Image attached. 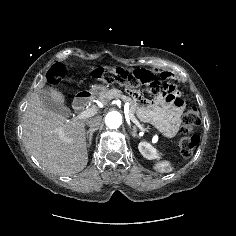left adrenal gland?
Returning a JSON list of instances; mask_svg holds the SVG:
<instances>
[{
    "label": "left adrenal gland",
    "mask_w": 236,
    "mask_h": 236,
    "mask_svg": "<svg viewBox=\"0 0 236 236\" xmlns=\"http://www.w3.org/2000/svg\"><path fill=\"white\" fill-rule=\"evenodd\" d=\"M131 134H132L133 137H139L138 134H137L136 126H133V131H132Z\"/></svg>",
    "instance_id": "left-adrenal-gland-1"
}]
</instances>
